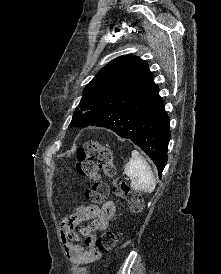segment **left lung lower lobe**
<instances>
[{"instance_id": "obj_1", "label": "left lung lower lobe", "mask_w": 221, "mask_h": 274, "mask_svg": "<svg viewBox=\"0 0 221 274\" xmlns=\"http://www.w3.org/2000/svg\"><path fill=\"white\" fill-rule=\"evenodd\" d=\"M153 78L134 99L96 109L90 126L111 129L138 145L156 164L159 177L167 163L169 117Z\"/></svg>"}]
</instances>
